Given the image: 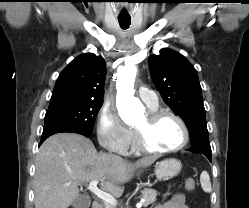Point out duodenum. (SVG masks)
<instances>
[{
    "mask_svg": "<svg viewBox=\"0 0 249 208\" xmlns=\"http://www.w3.org/2000/svg\"><path fill=\"white\" fill-rule=\"evenodd\" d=\"M91 208H100V202L97 199L93 200Z\"/></svg>",
    "mask_w": 249,
    "mask_h": 208,
    "instance_id": "obj_1",
    "label": "duodenum"
}]
</instances>
